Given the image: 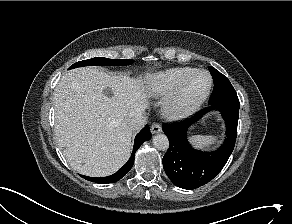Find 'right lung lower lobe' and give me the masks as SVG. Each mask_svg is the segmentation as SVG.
<instances>
[{
	"label": "right lung lower lobe",
	"instance_id": "obj_1",
	"mask_svg": "<svg viewBox=\"0 0 292 224\" xmlns=\"http://www.w3.org/2000/svg\"><path fill=\"white\" fill-rule=\"evenodd\" d=\"M150 139H151L150 128L148 125H146L135 137L134 147H133V151H132V155H131L130 159L116 173H114L113 175H110L107 177H101V178L88 177V176H82V177L86 180L100 183V184L114 183V182L120 180L123 176H125L129 172V170L133 166L134 155H135L137 149L141 146V144L144 141H148Z\"/></svg>",
	"mask_w": 292,
	"mask_h": 224
}]
</instances>
